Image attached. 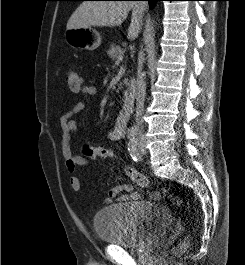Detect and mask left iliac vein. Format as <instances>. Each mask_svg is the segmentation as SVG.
<instances>
[{"instance_id":"4c4485c4","label":"left iliac vein","mask_w":245,"mask_h":265,"mask_svg":"<svg viewBox=\"0 0 245 265\" xmlns=\"http://www.w3.org/2000/svg\"><path fill=\"white\" fill-rule=\"evenodd\" d=\"M138 150L140 152V154H146V147H145V141L144 139L140 140V142L138 143Z\"/></svg>"}]
</instances>
